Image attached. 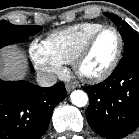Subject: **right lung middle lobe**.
Instances as JSON below:
<instances>
[{"instance_id": "obj_1", "label": "right lung middle lobe", "mask_w": 139, "mask_h": 139, "mask_svg": "<svg viewBox=\"0 0 139 139\" xmlns=\"http://www.w3.org/2000/svg\"><path fill=\"white\" fill-rule=\"evenodd\" d=\"M40 30H42L40 26L13 25L2 20L0 21V43L25 42Z\"/></svg>"}]
</instances>
